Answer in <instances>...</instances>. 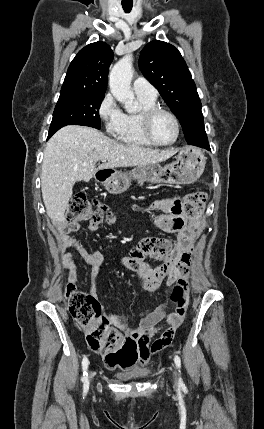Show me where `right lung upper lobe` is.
<instances>
[{
	"label": "right lung upper lobe",
	"mask_w": 264,
	"mask_h": 429,
	"mask_svg": "<svg viewBox=\"0 0 264 429\" xmlns=\"http://www.w3.org/2000/svg\"><path fill=\"white\" fill-rule=\"evenodd\" d=\"M113 57L105 42L91 43L81 49L68 68L61 93L105 94Z\"/></svg>",
	"instance_id": "1"
}]
</instances>
